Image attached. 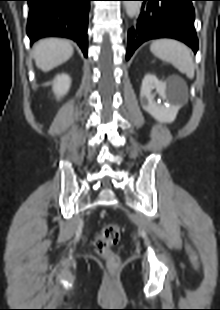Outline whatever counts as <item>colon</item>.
<instances>
[{
  "label": "colon",
  "mask_w": 220,
  "mask_h": 310,
  "mask_svg": "<svg viewBox=\"0 0 220 310\" xmlns=\"http://www.w3.org/2000/svg\"><path fill=\"white\" fill-rule=\"evenodd\" d=\"M121 237L120 228L116 224L105 225L99 237L94 243L95 251L112 267H117L119 257L113 252L112 247L118 243Z\"/></svg>",
  "instance_id": "5ec220e1"
}]
</instances>
